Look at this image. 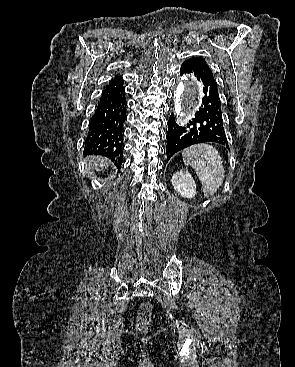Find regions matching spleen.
<instances>
[{"label":"spleen","mask_w":295,"mask_h":367,"mask_svg":"<svg viewBox=\"0 0 295 367\" xmlns=\"http://www.w3.org/2000/svg\"><path fill=\"white\" fill-rule=\"evenodd\" d=\"M183 162L191 166L202 183L204 196H213L222 185L225 171L218 151L209 144H196L182 152Z\"/></svg>","instance_id":"1"}]
</instances>
